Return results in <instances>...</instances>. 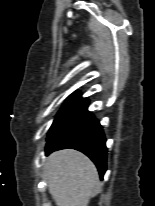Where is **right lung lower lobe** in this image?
I'll return each mask as SVG.
<instances>
[{"instance_id":"1","label":"right lung lower lobe","mask_w":155,"mask_h":206,"mask_svg":"<svg viewBox=\"0 0 155 206\" xmlns=\"http://www.w3.org/2000/svg\"><path fill=\"white\" fill-rule=\"evenodd\" d=\"M106 139L99 121L88 113L58 132L48 136L46 154L73 148L86 154L97 166L100 177L106 171Z\"/></svg>"}]
</instances>
